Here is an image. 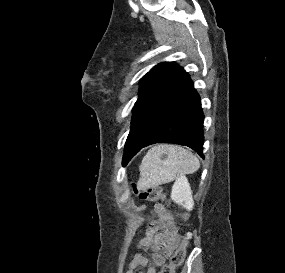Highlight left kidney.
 Listing matches in <instances>:
<instances>
[{
	"label": "left kidney",
	"instance_id": "obj_1",
	"mask_svg": "<svg viewBox=\"0 0 285 273\" xmlns=\"http://www.w3.org/2000/svg\"><path fill=\"white\" fill-rule=\"evenodd\" d=\"M171 199L191 211L194 206L191 187L186 177L179 178L172 187Z\"/></svg>",
	"mask_w": 285,
	"mask_h": 273
}]
</instances>
